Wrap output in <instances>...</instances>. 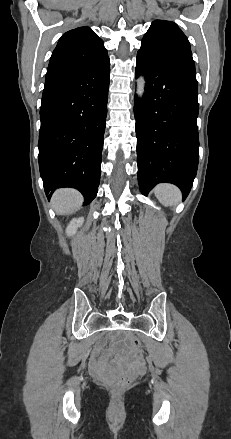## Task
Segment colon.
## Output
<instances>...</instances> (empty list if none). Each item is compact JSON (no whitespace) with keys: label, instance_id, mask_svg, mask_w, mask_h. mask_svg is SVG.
Wrapping results in <instances>:
<instances>
[{"label":"colon","instance_id":"1","mask_svg":"<svg viewBox=\"0 0 231 439\" xmlns=\"http://www.w3.org/2000/svg\"><path fill=\"white\" fill-rule=\"evenodd\" d=\"M130 344L134 350H140L142 347L141 341L138 337H133L130 341ZM129 380V376L116 377L114 379L113 386L116 390H121L128 384Z\"/></svg>","mask_w":231,"mask_h":439}]
</instances>
